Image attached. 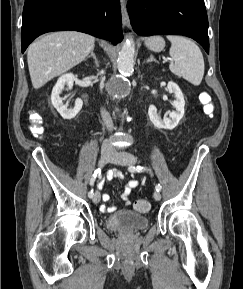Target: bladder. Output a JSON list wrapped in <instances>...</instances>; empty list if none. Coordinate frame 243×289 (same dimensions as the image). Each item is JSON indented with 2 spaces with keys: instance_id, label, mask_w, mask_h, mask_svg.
<instances>
[{
  "instance_id": "31cf9c89",
  "label": "bladder",
  "mask_w": 243,
  "mask_h": 289,
  "mask_svg": "<svg viewBox=\"0 0 243 289\" xmlns=\"http://www.w3.org/2000/svg\"><path fill=\"white\" fill-rule=\"evenodd\" d=\"M106 227L114 232L134 233L146 229L149 219L143 214L124 210L109 215L105 221Z\"/></svg>"
}]
</instances>
